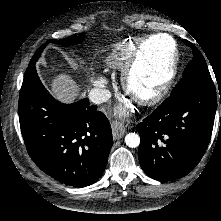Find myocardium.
Returning <instances> with one entry per match:
<instances>
[{
	"instance_id": "1",
	"label": "myocardium",
	"mask_w": 221,
	"mask_h": 221,
	"mask_svg": "<svg viewBox=\"0 0 221 221\" xmlns=\"http://www.w3.org/2000/svg\"><path fill=\"white\" fill-rule=\"evenodd\" d=\"M156 37H166L172 43V50L164 69V77L154 83L142 84L139 89H136V74L141 64L145 48ZM178 63V46L172 35L168 33H156L142 38L122 73V83L126 94L134 101L145 106L157 104L162 100L172 85L176 76Z\"/></svg>"
}]
</instances>
